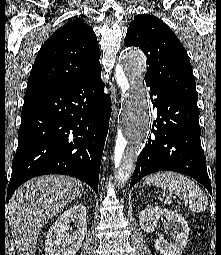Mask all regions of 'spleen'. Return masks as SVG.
I'll list each match as a JSON object with an SVG mask.
<instances>
[{
  "instance_id": "1",
  "label": "spleen",
  "mask_w": 221,
  "mask_h": 255,
  "mask_svg": "<svg viewBox=\"0 0 221 255\" xmlns=\"http://www.w3.org/2000/svg\"><path fill=\"white\" fill-rule=\"evenodd\" d=\"M143 185L162 187L170 194L177 195L189 203V209L192 212L200 213L207 209L208 199L204 192L192 180L182 174L158 172L147 176Z\"/></svg>"
}]
</instances>
